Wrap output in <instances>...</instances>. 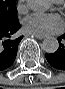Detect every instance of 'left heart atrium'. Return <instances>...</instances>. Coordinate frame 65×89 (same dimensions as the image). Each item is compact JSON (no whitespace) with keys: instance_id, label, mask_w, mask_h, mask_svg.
<instances>
[{"instance_id":"39dd6f15","label":"left heart atrium","mask_w":65,"mask_h":89,"mask_svg":"<svg viewBox=\"0 0 65 89\" xmlns=\"http://www.w3.org/2000/svg\"><path fill=\"white\" fill-rule=\"evenodd\" d=\"M27 32L37 35H48L62 27V20L56 15L34 13L23 21Z\"/></svg>"}]
</instances>
